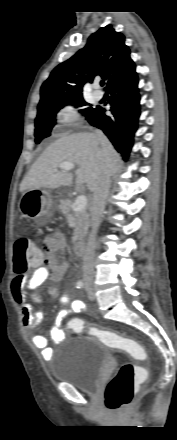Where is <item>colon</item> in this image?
<instances>
[{
    "label": "colon",
    "instance_id": "5ec220e1",
    "mask_svg": "<svg viewBox=\"0 0 177 440\" xmlns=\"http://www.w3.org/2000/svg\"><path fill=\"white\" fill-rule=\"evenodd\" d=\"M13 251V267L16 273H24L43 260L41 250L28 237L19 238L14 244ZM67 329L76 333L86 330L105 345L126 351L137 360L143 361L147 357L144 348L131 338L102 330L94 325L87 324L80 318H71L67 323ZM145 378L146 371L140 366L132 363L121 365L105 388L104 402L106 407L110 410H121L130 405L139 384Z\"/></svg>",
    "mask_w": 177,
    "mask_h": 440
}]
</instances>
